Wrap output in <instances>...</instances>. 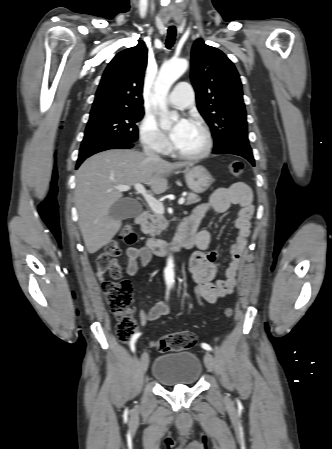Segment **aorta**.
Returning a JSON list of instances; mask_svg holds the SVG:
<instances>
[{
    "label": "aorta",
    "instance_id": "762f6f07",
    "mask_svg": "<svg viewBox=\"0 0 332 449\" xmlns=\"http://www.w3.org/2000/svg\"><path fill=\"white\" fill-rule=\"evenodd\" d=\"M188 62L186 59H173L161 67L155 82V96L157 104L164 115L168 114L166 97L173 83L186 71ZM176 121L177 117H173ZM174 263L173 258L169 256L167 266L164 270V278L167 284H174Z\"/></svg>",
    "mask_w": 332,
    "mask_h": 449
}]
</instances>
